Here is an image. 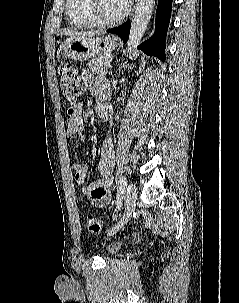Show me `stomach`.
<instances>
[{"mask_svg": "<svg viewBox=\"0 0 239 303\" xmlns=\"http://www.w3.org/2000/svg\"><path fill=\"white\" fill-rule=\"evenodd\" d=\"M116 40L114 36L67 39L61 46V52L65 58L79 61L108 56L117 48Z\"/></svg>", "mask_w": 239, "mask_h": 303, "instance_id": "0dacf381", "label": "stomach"}]
</instances>
